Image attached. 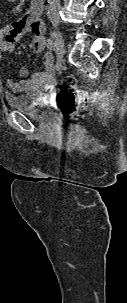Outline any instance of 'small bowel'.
I'll use <instances>...</instances> for the list:
<instances>
[{
	"instance_id": "obj_1",
	"label": "small bowel",
	"mask_w": 127,
	"mask_h": 303,
	"mask_svg": "<svg viewBox=\"0 0 127 303\" xmlns=\"http://www.w3.org/2000/svg\"><path fill=\"white\" fill-rule=\"evenodd\" d=\"M14 3L16 0H7ZM21 9L18 5L15 11ZM43 10L42 0H30L29 7L25 14L19 19L0 28V62L3 52H12L15 43L26 33L33 34L31 50L35 53L44 51L47 41L45 39V26L41 20ZM44 71L35 72L29 77L27 68L22 67L19 71L21 80L12 78L6 79V86L13 92H33L38 86H50L53 83L55 73L54 58L51 52L45 51L42 56Z\"/></svg>"
}]
</instances>
